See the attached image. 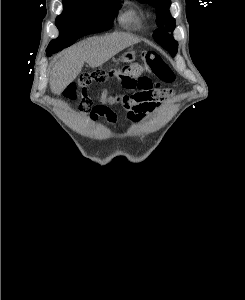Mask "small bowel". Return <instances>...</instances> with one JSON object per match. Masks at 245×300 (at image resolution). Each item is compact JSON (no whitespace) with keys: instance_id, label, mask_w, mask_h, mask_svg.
Returning a JSON list of instances; mask_svg holds the SVG:
<instances>
[{"instance_id":"small-bowel-1","label":"small bowel","mask_w":245,"mask_h":300,"mask_svg":"<svg viewBox=\"0 0 245 300\" xmlns=\"http://www.w3.org/2000/svg\"><path fill=\"white\" fill-rule=\"evenodd\" d=\"M129 94L108 95L103 93L98 102L93 104L88 96H84L80 109L88 115L89 121L95 123L104 117L109 123L117 124V114L109 107L120 104L126 111L127 118L134 123L142 122L150 113L160 106V100L155 96L152 81L148 77H141Z\"/></svg>"}]
</instances>
